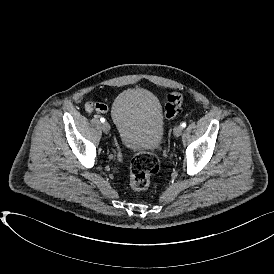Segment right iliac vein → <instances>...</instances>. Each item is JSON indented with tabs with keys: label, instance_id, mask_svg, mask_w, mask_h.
<instances>
[{
	"label": "right iliac vein",
	"instance_id": "1",
	"mask_svg": "<svg viewBox=\"0 0 274 274\" xmlns=\"http://www.w3.org/2000/svg\"><path fill=\"white\" fill-rule=\"evenodd\" d=\"M102 130H103V132H105V133H108V132L110 131V125H109L108 122H104V123L102 124Z\"/></svg>",
	"mask_w": 274,
	"mask_h": 274
}]
</instances>
